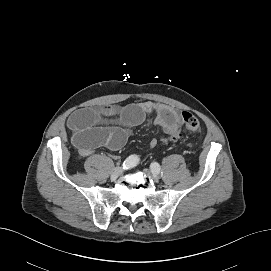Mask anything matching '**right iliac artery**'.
<instances>
[{"label":"right iliac artery","instance_id":"obj_1","mask_svg":"<svg viewBox=\"0 0 271 271\" xmlns=\"http://www.w3.org/2000/svg\"><path fill=\"white\" fill-rule=\"evenodd\" d=\"M139 162V158L137 155L129 156L122 164L123 169L128 170L135 167Z\"/></svg>","mask_w":271,"mask_h":271}]
</instances>
